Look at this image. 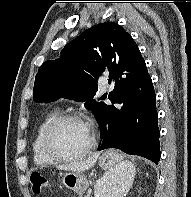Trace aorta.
I'll return each mask as SVG.
<instances>
[{
    "instance_id": "obj_1",
    "label": "aorta",
    "mask_w": 191,
    "mask_h": 197,
    "mask_svg": "<svg viewBox=\"0 0 191 197\" xmlns=\"http://www.w3.org/2000/svg\"><path fill=\"white\" fill-rule=\"evenodd\" d=\"M108 176L105 175L98 183V190L100 192V196L101 197L103 194H107V186H108Z\"/></svg>"
}]
</instances>
